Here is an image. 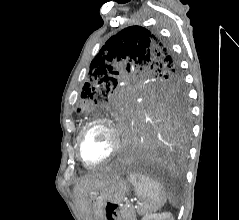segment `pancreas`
Returning <instances> with one entry per match:
<instances>
[{
  "instance_id": "cf45deb5",
  "label": "pancreas",
  "mask_w": 239,
  "mask_h": 220,
  "mask_svg": "<svg viewBox=\"0 0 239 220\" xmlns=\"http://www.w3.org/2000/svg\"><path fill=\"white\" fill-rule=\"evenodd\" d=\"M121 217L124 220H136L135 210L130 205H125L120 210Z\"/></svg>"
}]
</instances>
